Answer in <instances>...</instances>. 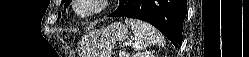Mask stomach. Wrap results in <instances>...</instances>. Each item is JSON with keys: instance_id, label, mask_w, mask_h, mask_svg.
Masks as SVG:
<instances>
[{"instance_id": "stomach-1", "label": "stomach", "mask_w": 249, "mask_h": 57, "mask_svg": "<svg viewBox=\"0 0 249 57\" xmlns=\"http://www.w3.org/2000/svg\"><path fill=\"white\" fill-rule=\"evenodd\" d=\"M127 37L128 28L121 22L91 31L82 41L83 57H110L112 49Z\"/></svg>"}]
</instances>
